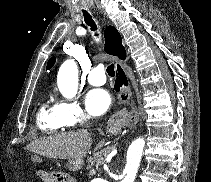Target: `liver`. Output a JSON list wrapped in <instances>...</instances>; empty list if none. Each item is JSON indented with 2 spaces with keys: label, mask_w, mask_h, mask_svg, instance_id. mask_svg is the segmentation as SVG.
<instances>
[{
  "label": "liver",
  "mask_w": 211,
  "mask_h": 182,
  "mask_svg": "<svg viewBox=\"0 0 211 182\" xmlns=\"http://www.w3.org/2000/svg\"><path fill=\"white\" fill-rule=\"evenodd\" d=\"M91 144V134L87 130L82 129L36 139L26 149L53 159H83ZM103 145L104 140L96 145V150L102 148Z\"/></svg>",
  "instance_id": "obj_1"
}]
</instances>
